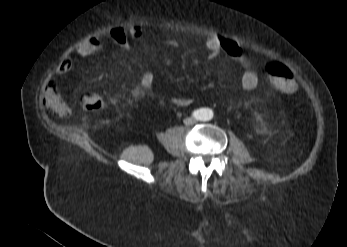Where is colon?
Segmentation results:
<instances>
[{"label":"colon","instance_id":"1","mask_svg":"<svg viewBox=\"0 0 347 247\" xmlns=\"http://www.w3.org/2000/svg\"><path fill=\"white\" fill-rule=\"evenodd\" d=\"M268 80L271 88L282 94H290L296 90L297 84L291 70L282 63L270 64L267 68ZM103 99L92 91L83 93L80 97V106L87 112L101 108Z\"/></svg>","mask_w":347,"mask_h":247}]
</instances>
